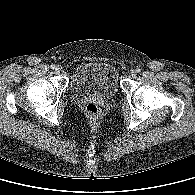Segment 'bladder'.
<instances>
[{
	"label": "bladder",
	"instance_id": "obj_1",
	"mask_svg": "<svg viewBox=\"0 0 195 195\" xmlns=\"http://www.w3.org/2000/svg\"><path fill=\"white\" fill-rule=\"evenodd\" d=\"M71 89L78 96L112 97L119 89L118 71L108 62H84L73 74Z\"/></svg>",
	"mask_w": 195,
	"mask_h": 195
}]
</instances>
